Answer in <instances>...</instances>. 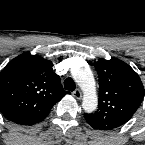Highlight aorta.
<instances>
[{"label":"aorta","instance_id":"762f6f07","mask_svg":"<svg viewBox=\"0 0 145 145\" xmlns=\"http://www.w3.org/2000/svg\"><path fill=\"white\" fill-rule=\"evenodd\" d=\"M72 75L84 93L83 109L88 113L95 111L98 105V98L92 71L86 66H77L73 69Z\"/></svg>","mask_w":145,"mask_h":145}]
</instances>
